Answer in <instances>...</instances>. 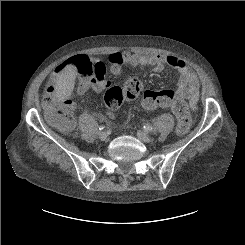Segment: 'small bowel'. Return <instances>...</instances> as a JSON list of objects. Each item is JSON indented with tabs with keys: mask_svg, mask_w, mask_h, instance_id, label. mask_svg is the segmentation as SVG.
<instances>
[{
	"mask_svg": "<svg viewBox=\"0 0 245 245\" xmlns=\"http://www.w3.org/2000/svg\"><path fill=\"white\" fill-rule=\"evenodd\" d=\"M110 71L117 75L121 72L125 65L132 67H152L156 72H161L165 67H170L177 71L178 81L176 92L189 102L192 110H195L200 100V89L195 72L179 57L173 54H154L139 55L131 51L112 52L108 56ZM65 61L56 66L51 79L58 81L62 77H70L75 79V70L68 66ZM110 80L104 78L102 81L96 79H85L78 83L76 93L84 95L88 92L101 93L110 86ZM102 121L105 119L100 117Z\"/></svg>",
	"mask_w": 245,
	"mask_h": 245,
	"instance_id": "c3829d8e",
	"label": "small bowel"
}]
</instances>
